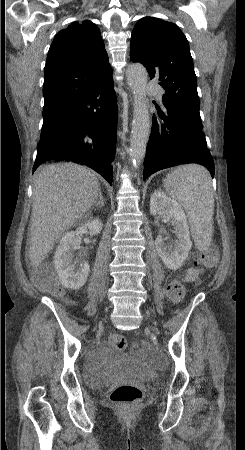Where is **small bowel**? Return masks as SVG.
<instances>
[{
	"mask_svg": "<svg viewBox=\"0 0 245 450\" xmlns=\"http://www.w3.org/2000/svg\"><path fill=\"white\" fill-rule=\"evenodd\" d=\"M186 280L188 282L198 281L199 280V272L197 270L191 269L188 272Z\"/></svg>",
	"mask_w": 245,
	"mask_h": 450,
	"instance_id": "1",
	"label": "small bowel"
}]
</instances>
